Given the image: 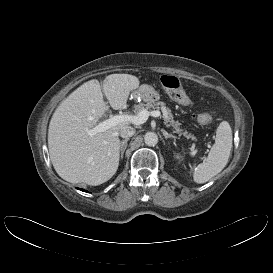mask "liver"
<instances>
[{"instance_id":"6515ba94","label":"liver","mask_w":273,"mask_h":273,"mask_svg":"<svg viewBox=\"0 0 273 273\" xmlns=\"http://www.w3.org/2000/svg\"><path fill=\"white\" fill-rule=\"evenodd\" d=\"M140 81L130 74H111L103 81V92L115 110L126 106L129 94ZM98 80L82 84L61 102L48 129L50 159L57 174L71 183L97 186L117 171L120 156L118 132L129 126L124 122L89 135L108 110Z\"/></svg>"}]
</instances>
